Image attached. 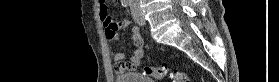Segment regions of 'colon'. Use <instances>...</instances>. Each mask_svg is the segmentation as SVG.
Instances as JSON below:
<instances>
[{
  "label": "colon",
  "instance_id": "5ec220e1",
  "mask_svg": "<svg viewBox=\"0 0 279 82\" xmlns=\"http://www.w3.org/2000/svg\"><path fill=\"white\" fill-rule=\"evenodd\" d=\"M100 17L104 26L112 25L113 21L111 20L108 11L104 6L100 7ZM166 71L167 69L165 67H150V66L143 67V73L147 76H150L154 80L162 79ZM171 78L173 82H189L188 76L184 72H179V71L172 72Z\"/></svg>",
  "mask_w": 279,
  "mask_h": 82
}]
</instances>
